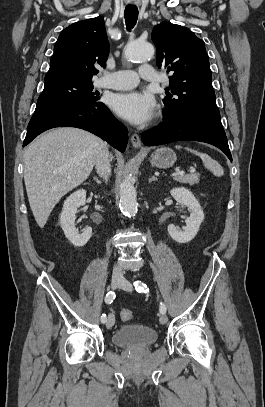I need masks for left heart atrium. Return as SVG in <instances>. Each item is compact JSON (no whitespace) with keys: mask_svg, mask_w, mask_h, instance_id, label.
<instances>
[{"mask_svg":"<svg viewBox=\"0 0 265 407\" xmlns=\"http://www.w3.org/2000/svg\"><path fill=\"white\" fill-rule=\"evenodd\" d=\"M110 106L117 115L132 124L147 122L155 112L153 97L137 91L114 94Z\"/></svg>","mask_w":265,"mask_h":407,"instance_id":"left-heart-atrium-1","label":"left heart atrium"}]
</instances>
